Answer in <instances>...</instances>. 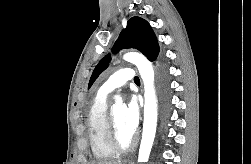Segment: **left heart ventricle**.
I'll use <instances>...</instances> for the list:
<instances>
[{
  "label": "left heart ventricle",
  "mask_w": 251,
  "mask_h": 164,
  "mask_svg": "<svg viewBox=\"0 0 251 164\" xmlns=\"http://www.w3.org/2000/svg\"><path fill=\"white\" fill-rule=\"evenodd\" d=\"M124 110V106H117L112 111L117 124L120 140L122 143H128L133 134L129 132L125 126Z\"/></svg>",
  "instance_id": "left-heart-ventricle-1"
}]
</instances>
